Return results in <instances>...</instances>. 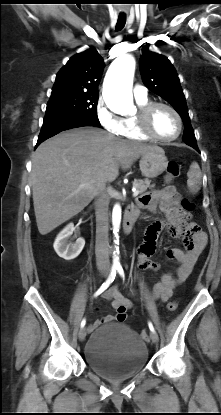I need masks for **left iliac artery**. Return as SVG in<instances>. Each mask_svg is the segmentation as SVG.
<instances>
[{"label": "left iliac artery", "mask_w": 221, "mask_h": 415, "mask_svg": "<svg viewBox=\"0 0 221 415\" xmlns=\"http://www.w3.org/2000/svg\"><path fill=\"white\" fill-rule=\"evenodd\" d=\"M116 268H117V271H118V273L120 274V276L124 278V271H123L122 266H120V265H119V266H117ZM148 326H149V329H150L152 332H155L154 326H153V324H152L151 322H148Z\"/></svg>", "instance_id": "obj_1"}]
</instances>
